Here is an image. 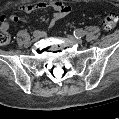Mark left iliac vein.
<instances>
[{"label":"left iliac vein","instance_id":"obj_1","mask_svg":"<svg viewBox=\"0 0 119 119\" xmlns=\"http://www.w3.org/2000/svg\"><path fill=\"white\" fill-rule=\"evenodd\" d=\"M67 38L77 44H81L83 41L80 38H76L73 35H67Z\"/></svg>","mask_w":119,"mask_h":119}]
</instances>
